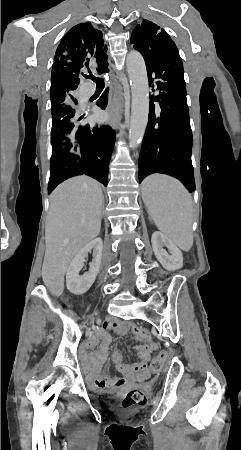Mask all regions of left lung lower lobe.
Here are the masks:
<instances>
[{
    "label": "left lung lower lobe",
    "instance_id": "left-lung-lower-lobe-1",
    "mask_svg": "<svg viewBox=\"0 0 241 450\" xmlns=\"http://www.w3.org/2000/svg\"><path fill=\"white\" fill-rule=\"evenodd\" d=\"M145 63L149 84L154 80L152 74L158 79L159 94L150 97L148 125L139 156V181L152 173H164L174 176L194 191L184 70L174 42L168 44L156 60ZM155 101L159 102L161 109L158 117Z\"/></svg>",
    "mask_w": 241,
    "mask_h": 450
}]
</instances>
